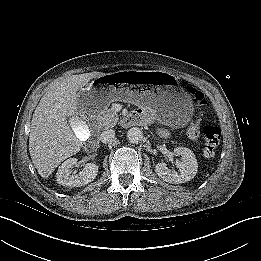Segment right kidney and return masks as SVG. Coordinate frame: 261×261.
I'll return each mask as SVG.
<instances>
[{
	"label": "right kidney",
	"instance_id": "obj_1",
	"mask_svg": "<svg viewBox=\"0 0 261 261\" xmlns=\"http://www.w3.org/2000/svg\"><path fill=\"white\" fill-rule=\"evenodd\" d=\"M80 124L85 126L84 122H80ZM77 161V158H69L63 162L61 166H59L56 175L57 182L60 185L68 187H81L87 185L96 178L98 166L94 163H87L82 171L77 174H72L71 169L74 165H76Z\"/></svg>",
	"mask_w": 261,
	"mask_h": 261
}]
</instances>
